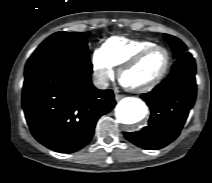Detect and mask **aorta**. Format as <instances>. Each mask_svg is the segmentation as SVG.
I'll return each instance as SVG.
<instances>
[{
    "label": "aorta",
    "instance_id": "aorta-1",
    "mask_svg": "<svg viewBox=\"0 0 212 183\" xmlns=\"http://www.w3.org/2000/svg\"><path fill=\"white\" fill-rule=\"evenodd\" d=\"M115 114L120 123L135 124L144 119L147 107L140 99L127 97L118 103Z\"/></svg>",
    "mask_w": 212,
    "mask_h": 183
}]
</instances>
